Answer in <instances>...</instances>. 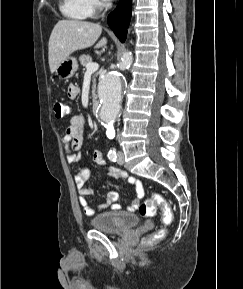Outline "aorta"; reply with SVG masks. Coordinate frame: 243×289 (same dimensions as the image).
I'll return each instance as SVG.
<instances>
[{
  "mask_svg": "<svg viewBox=\"0 0 243 289\" xmlns=\"http://www.w3.org/2000/svg\"><path fill=\"white\" fill-rule=\"evenodd\" d=\"M133 62L130 51H126L117 65V70L107 73L98 86L100 100L99 117L106 128V136L109 139L115 137L114 122L120 112L123 82L121 71L128 69Z\"/></svg>",
  "mask_w": 243,
  "mask_h": 289,
  "instance_id": "1",
  "label": "aorta"
}]
</instances>
